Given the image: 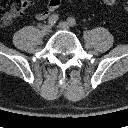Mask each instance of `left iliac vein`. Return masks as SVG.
Returning a JSON list of instances; mask_svg holds the SVG:
<instances>
[{"label":"left iliac vein","instance_id":"obj_1","mask_svg":"<svg viewBox=\"0 0 128 128\" xmlns=\"http://www.w3.org/2000/svg\"><path fill=\"white\" fill-rule=\"evenodd\" d=\"M58 27L64 30H69L70 29V25L67 22H60L58 24Z\"/></svg>","mask_w":128,"mask_h":128}]
</instances>
